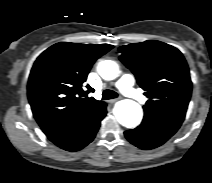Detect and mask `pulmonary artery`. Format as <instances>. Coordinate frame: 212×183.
<instances>
[{
	"instance_id": "e3ab8cb5",
	"label": "pulmonary artery",
	"mask_w": 212,
	"mask_h": 183,
	"mask_svg": "<svg viewBox=\"0 0 212 183\" xmlns=\"http://www.w3.org/2000/svg\"><path fill=\"white\" fill-rule=\"evenodd\" d=\"M135 78L131 74L123 75L115 86L127 97L136 100L139 103H145L146 97L134 88Z\"/></svg>"
}]
</instances>
